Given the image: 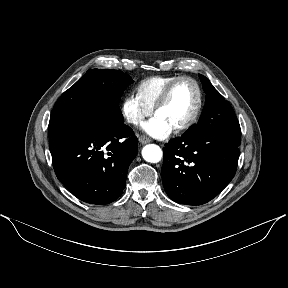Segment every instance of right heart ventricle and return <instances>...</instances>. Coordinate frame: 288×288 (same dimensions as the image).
Returning <instances> with one entry per match:
<instances>
[{"label": "right heart ventricle", "mask_w": 288, "mask_h": 288, "mask_svg": "<svg viewBox=\"0 0 288 288\" xmlns=\"http://www.w3.org/2000/svg\"><path fill=\"white\" fill-rule=\"evenodd\" d=\"M175 78L177 76L173 75L146 78L138 84L136 95L142 103L152 108L166 86Z\"/></svg>", "instance_id": "right-heart-ventricle-1"}]
</instances>
